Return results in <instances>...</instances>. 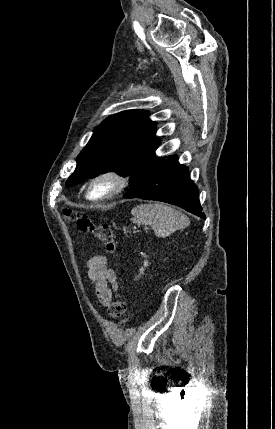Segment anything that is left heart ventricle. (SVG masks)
<instances>
[{"label":"left heart ventricle","mask_w":275,"mask_h":429,"mask_svg":"<svg viewBox=\"0 0 275 429\" xmlns=\"http://www.w3.org/2000/svg\"><path fill=\"white\" fill-rule=\"evenodd\" d=\"M110 188V183L108 181L97 182L91 190V195L93 197H100L104 195Z\"/></svg>","instance_id":"left-heart-ventricle-1"}]
</instances>
